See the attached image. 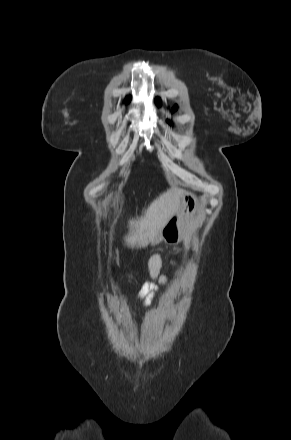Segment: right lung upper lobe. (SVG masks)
Wrapping results in <instances>:
<instances>
[{
  "mask_svg": "<svg viewBox=\"0 0 291 440\" xmlns=\"http://www.w3.org/2000/svg\"><path fill=\"white\" fill-rule=\"evenodd\" d=\"M130 101V99H127V102H129Z\"/></svg>",
  "mask_w": 291,
  "mask_h": 440,
  "instance_id": "right-lung-upper-lobe-1",
  "label": "right lung upper lobe"
}]
</instances>
